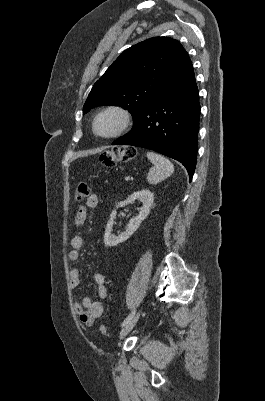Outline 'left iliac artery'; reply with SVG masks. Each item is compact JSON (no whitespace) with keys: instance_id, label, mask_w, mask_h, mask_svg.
Segmentation results:
<instances>
[{"instance_id":"obj_1","label":"left iliac artery","mask_w":265,"mask_h":401,"mask_svg":"<svg viewBox=\"0 0 265 401\" xmlns=\"http://www.w3.org/2000/svg\"><path fill=\"white\" fill-rule=\"evenodd\" d=\"M135 315V310H133L127 317L126 319L122 322L121 326H125Z\"/></svg>"}]
</instances>
